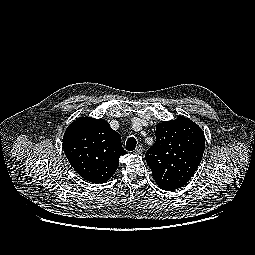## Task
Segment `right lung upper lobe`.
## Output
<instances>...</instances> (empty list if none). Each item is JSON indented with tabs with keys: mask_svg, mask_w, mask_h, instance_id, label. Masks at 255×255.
I'll list each match as a JSON object with an SVG mask.
<instances>
[{
	"mask_svg": "<svg viewBox=\"0 0 255 255\" xmlns=\"http://www.w3.org/2000/svg\"><path fill=\"white\" fill-rule=\"evenodd\" d=\"M63 149L74 170L92 183L106 182L116 172L119 158L126 154L120 134L102 119L80 117L63 136Z\"/></svg>",
	"mask_w": 255,
	"mask_h": 255,
	"instance_id": "obj_1",
	"label": "right lung upper lobe"
}]
</instances>
